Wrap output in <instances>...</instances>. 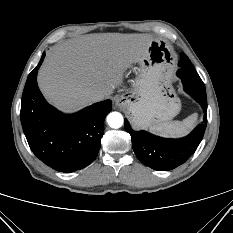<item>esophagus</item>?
Segmentation results:
<instances>
[{
	"mask_svg": "<svg viewBox=\"0 0 233 233\" xmlns=\"http://www.w3.org/2000/svg\"><path fill=\"white\" fill-rule=\"evenodd\" d=\"M115 104L118 108H124L127 105V100L125 97L120 96V97L116 98Z\"/></svg>",
	"mask_w": 233,
	"mask_h": 233,
	"instance_id": "1",
	"label": "esophagus"
}]
</instances>
